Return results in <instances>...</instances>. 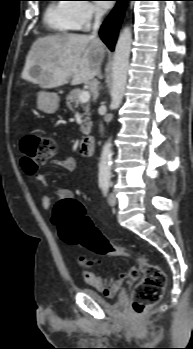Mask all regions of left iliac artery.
<instances>
[{
	"label": "left iliac artery",
	"instance_id": "obj_1",
	"mask_svg": "<svg viewBox=\"0 0 193 349\" xmlns=\"http://www.w3.org/2000/svg\"><path fill=\"white\" fill-rule=\"evenodd\" d=\"M110 183H104V185H103V187H102V189H103V194L104 195H106L107 194V191H108V189H109V187H110Z\"/></svg>",
	"mask_w": 193,
	"mask_h": 349
}]
</instances>
